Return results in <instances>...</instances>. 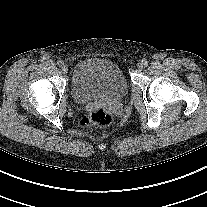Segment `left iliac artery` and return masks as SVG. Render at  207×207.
Wrapping results in <instances>:
<instances>
[{"mask_svg":"<svg viewBox=\"0 0 207 207\" xmlns=\"http://www.w3.org/2000/svg\"><path fill=\"white\" fill-rule=\"evenodd\" d=\"M144 66L146 67L148 65V61L146 59L142 60Z\"/></svg>","mask_w":207,"mask_h":207,"instance_id":"obj_1","label":"left iliac artery"}]
</instances>
